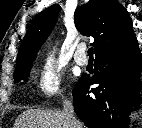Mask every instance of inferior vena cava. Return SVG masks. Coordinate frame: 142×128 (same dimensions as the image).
I'll list each match as a JSON object with an SVG mask.
<instances>
[{"label": "inferior vena cava", "mask_w": 142, "mask_h": 128, "mask_svg": "<svg viewBox=\"0 0 142 128\" xmlns=\"http://www.w3.org/2000/svg\"><path fill=\"white\" fill-rule=\"evenodd\" d=\"M63 112L66 118L70 121V125H71L70 128H78L79 126L74 114L73 105L68 99H65L63 101Z\"/></svg>", "instance_id": "1"}]
</instances>
